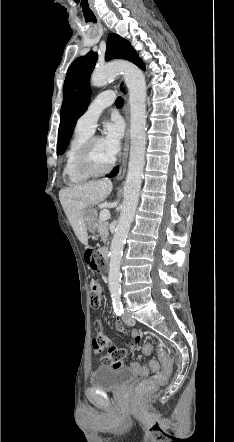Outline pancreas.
Instances as JSON below:
<instances>
[{"label":"pancreas","mask_w":234,"mask_h":442,"mask_svg":"<svg viewBox=\"0 0 234 442\" xmlns=\"http://www.w3.org/2000/svg\"><path fill=\"white\" fill-rule=\"evenodd\" d=\"M96 230L101 237V241L105 244L108 240L109 232H108V223L106 221H102L100 216H96Z\"/></svg>","instance_id":"1"}]
</instances>
